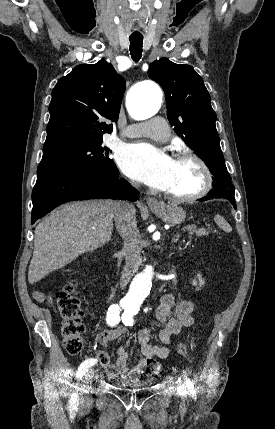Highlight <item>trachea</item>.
<instances>
[{"instance_id": "1", "label": "trachea", "mask_w": 275, "mask_h": 429, "mask_svg": "<svg viewBox=\"0 0 275 429\" xmlns=\"http://www.w3.org/2000/svg\"><path fill=\"white\" fill-rule=\"evenodd\" d=\"M130 55L135 62L142 56L143 37H130Z\"/></svg>"}]
</instances>
